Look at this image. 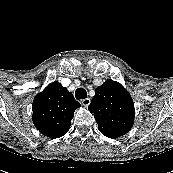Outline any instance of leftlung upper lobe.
<instances>
[{"label":"left lung upper lobe","instance_id":"obj_1","mask_svg":"<svg viewBox=\"0 0 173 173\" xmlns=\"http://www.w3.org/2000/svg\"><path fill=\"white\" fill-rule=\"evenodd\" d=\"M88 110L94 113L99 131L115 139L126 134L134 122V103L123 86L106 80L95 90Z\"/></svg>","mask_w":173,"mask_h":173}]
</instances>
